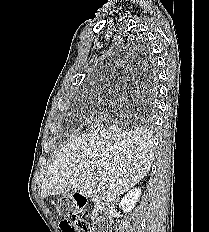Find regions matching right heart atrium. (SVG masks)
Here are the masks:
<instances>
[{
    "mask_svg": "<svg viewBox=\"0 0 209 232\" xmlns=\"http://www.w3.org/2000/svg\"><path fill=\"white\" fill-rule=\"evenodd\" d=\"M100 122H101V116L95 115V116L92 117L91 123H92L93 126L99 125Z\"/></svg>",
    "mask_w": 209,
    "mask_h": 232,
    "instance_id": "1",
    "label": "right heart atrium"
}]
</instances>
